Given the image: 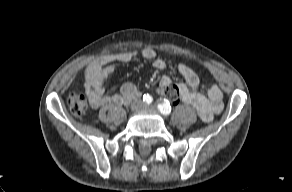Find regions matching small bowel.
<instances>
[{
	"label": "small bowel",
	"instance_id": "1",
	"mask_svg": "<svg viewBox=\"0 0 292 192\" xmlns=\"http://www.w3.org/2000/svg\"><path fill=\"white\" fill-rule=\"evenodd\" d=\"M154 49L147 47L142 51L124 52L107 58L104 62H94L89 65L85 73V87L91 107L98 108L105 104L126 105L134 97L139 95L136 86L132 83H125L119 91L106 93L104 85L108 77L114 72L116 62H130L142 57L146 60H153L156 69L163 70L167 63L162 59H155ZM178 71L184 78V83L171 84L169 77L161 79V87L172 88L178 97L186 104L193 106L199 118L203 122H210L214 115L221 112L223 108V95L216 84H209L206 95L198 91L199 77L196 72L185 64L178 66Z\"/></svg>",
	"mask_w": 292,
	"mask_h": 192
}]
</instances>
